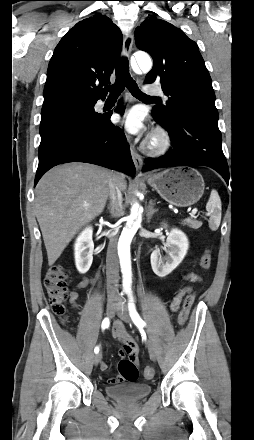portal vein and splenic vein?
<instances>
[{"mask_svg":"<svg viewBox=\"0 0 254 440\" xmlns=\"http://www.w3.org/2000/svg\"><path fill=\"white\" fill-rule=\"evenodd\" d=\"M86 206H88V205H86ZM196 213H197V209L196 208H194L193 210H192V213H191V218H195L196 216Z\"/></svg>","mask_w":254,"mask_h":440,"instance_id":"obj_1","label":"portal vein and splenic vein"}]
</instances>
